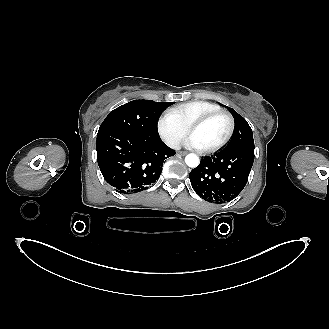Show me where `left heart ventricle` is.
<instances>
[{"label":"left heart ventricle","instance_id":"left-heart-ventricle-1","mask_svg":"<svg viewBox=\"0 0 329 329\" xmlns=\"http://www.w3.org/2000/svg\"><path fill=\"white\" fill-rule=\"evenodd\" d=\"M228 127V120L219 116L195 128L191 135L196 138L201 149H206L218 144L226 136Z\"/></svg>","mask_w":329,"mask_h":329}]
</instances>
